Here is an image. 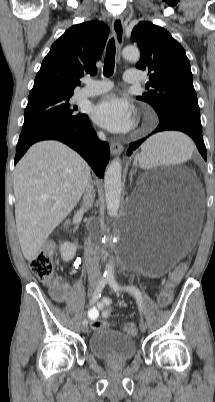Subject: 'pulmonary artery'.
Returning a JSON list of instances; mask_svg holds the SVG:
<instances>
[{
  "label": "pulmonary artery",
  "instance_id": "obj_1",
  "mask_svg": "<svg viewBox=\"0 0 215 402\" xmlns=\"http://www.w3.org/2000/svg\"><path fill=\"white\" fill-rule=\"evenodd\" d=\"M124 81L135 84L141 81L140 74L135 70H128L124 73ZM86 86L80 90L79 95L82 97L97 96L111 90L113 84L108 80L85 79Z\"/></svg>",
  "mask_w": 215,
  "mask_h": 402
}]
</instances>
